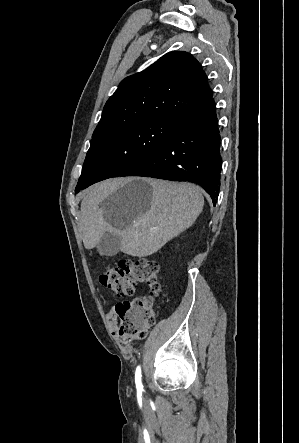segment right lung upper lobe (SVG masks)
Segmentation results:
<instances>
[{"label":"right lung upper lobe","mask_w":299,"mask_h":443,"mask_svg":"<svg viewBox=\"0 0 299 443\" xmlns=\"http://www.w3.org/2000/svg\"><path fill=\"white\" fill-rule=\"evenodd\" d=\"M211 96L198 61L186 52H169L119 84L93 136L144 118L179 119Z\"/></svg>","instance_id":"1"}]
</instances>
